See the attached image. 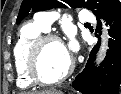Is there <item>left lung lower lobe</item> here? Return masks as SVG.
<instances>
[{
	"label": "left lung lower lobe",
	"instance_id": "0a47b994",
	"mask_svg": "<svg viewBox=\"0 0 121 94\" xmlns=\"http://www.w3.org/2000/svg\"><path fill=\"white\" fill-rule=\"evenodd\" d=\"M109 24V49L102 64L93 66L99 42L91 50L84 70L72 82L73 88L84 94H118L121 82V6L105 18ZM101 26V23H98Z\"/></svg>",
	"mask_w": 121,
	"mask_h": 94
}]
</instances>
